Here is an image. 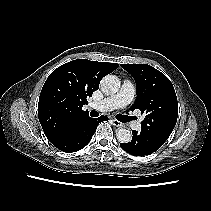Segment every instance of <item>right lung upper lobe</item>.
<instances>
[{"instance_id":"obj_1","label":"right lung upper lobe","mask_w":211,"mask_h":211,"mask_svg":"<svg viewBox=\"0 0 211 211\" xmlns=\"http://www.w3.org/2000/svg\"><path fill=\"white\" fill-rule=\"evenodd\" d=\"M116 63L77 59L55 69L47 78L39 97L38 117L48 139L66 125L89 117L82 106L99 88L101 79L113 72Z\"/></svg>"}]
</instances>
